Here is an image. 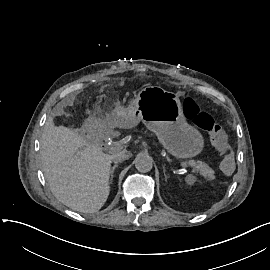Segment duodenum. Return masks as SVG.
<instances>
[{"label":"duodenum","instance_id":"obj_1","mask_svg":"<svg viewBox=\"0 0 270 270\" xmlns=\"http://www.w3.org/2000/svg\"><path fill=\"white\" fill-rule=\"evenodd\" d=\"M115 131H116V123L112 122L106 127L104 135L105 137H111L114 135Z\"/></svg>","mask_w":270,"mask_h":270}]
</instances>
